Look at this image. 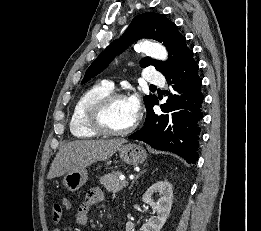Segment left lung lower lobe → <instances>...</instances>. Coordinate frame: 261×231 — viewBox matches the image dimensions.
<instances>
[{"label": "left lung lower lobe", "mask_w": 261, "mask_h": 231, "mask_svg": "<svg viewBox=\"0 0 261 231\" xmlns=\"http://www.w3.org/2000/svg\"><path fill=\"white\" fill-rule=\"evenodd\" d=\"M198 69L192 54L166 74L172 93L167 92L169 97L160 106L163 114L153 111V106L158 104L156 98L146 108L144 126L128 138L143 141L157 150L175 153L187 163L195 164L198 161L199 123L203 116L201 107L204 99Z\"/></svg>", "instance_id": "obj_1"}]
</instances>
